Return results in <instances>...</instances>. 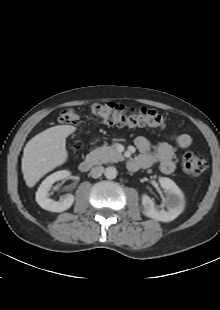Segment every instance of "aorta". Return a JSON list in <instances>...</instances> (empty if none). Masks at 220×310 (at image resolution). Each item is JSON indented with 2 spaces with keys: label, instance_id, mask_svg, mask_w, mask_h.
I'll use <instances>...</instances> for the list:
<instances>
[{
  "label": "aorta",
  "instance_id": "762f6f07",
  "mask_svg": "<svg viewBox=\"0 0 220 310\" xmlns=\"http://www.w3.org/2000/svg\"><path fill=\"white\" fill-rule=\"evenodd\" d=\"M117 170L115 167L111 166V167H107L106 170H105V177L107 179H115L116 176H117Z\"/></svg>",
  "mask_w": 220,
  "mask_h": 310
}]
</instances>
